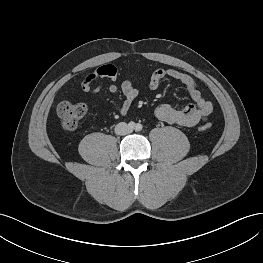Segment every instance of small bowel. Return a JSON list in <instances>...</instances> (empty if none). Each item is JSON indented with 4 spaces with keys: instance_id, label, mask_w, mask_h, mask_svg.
Wrapping results in <instances>:
<instances>
[{
    "instance_id": "small-bowel-1",
    "label": "small bowel",
    "mask_w": 263,
    "mask_h": 263,
    "mask_svg": "<svg viewBox=\"0 0 263 263\" xmlns=\"http://www.w3.org/2000/svg\"><path fill=\"white\" fill-rule=\"evenodd\" d=\"M117 71L113 66H103L87 74L81 81L83 91L90 94V101L95 100L96 95L101 91V86L97 82L102 78L114 81ZM164 78H172L182 84L194 103L187 105L182 110L172 108L167 104L159 105L155 110V116L164 122L183 127H193L199 123L205 122L212 112V104L205 99L198 88L196 81L188 74L175 69H157L149 80V88L156 90ZM119 90L124 95V100L119 106L120 115H126L136 97L139 94L138 88L130 80H124L120 86L112 83L108 86L111 94Z\"/></svg>"
}]
</instances>
